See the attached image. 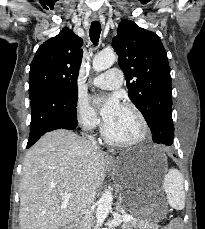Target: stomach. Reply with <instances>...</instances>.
<instances>
[{"label":"stomach","mask_w":205,"mask_h":229,"mask_svg":"<svg viewBox=\"0 0 205 229\" xmlns=\"http://www.w3.org/2000/svg\"><path fill=\"white\" fill-rule=\"evenodd\" d=\"M126 205L139 218H159L163 201L152 195L149 186L153 176L161 177L167 162L163 154L150 147L122 152L110 164Z\"/></svg>","instance_id":"obj_1"}]
</instances>
